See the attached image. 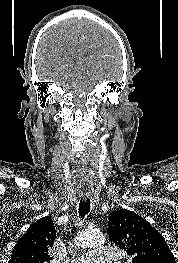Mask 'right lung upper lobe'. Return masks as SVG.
<instances>
[{"instance_id":"right-lung-upper-lobe-1","label":"right lung upper lobe","mask_w":178,"mask_h":263,"mask_svg":"<svg viewBox=\"0 0 178 263\" xmlns=\"http://www.w3.org/2000/svg\"><path fill=\"white\" fill-rule=\"evenodd\" d=\"M56 237L53 221L46 216L36 221L15 245L8 263H49Z\"/></svg>"}]
</instances>
